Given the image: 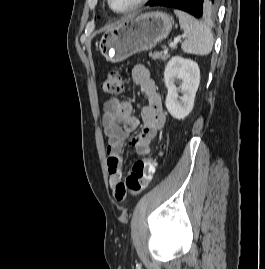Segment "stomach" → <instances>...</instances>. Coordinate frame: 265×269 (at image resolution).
I'll return each mask as SVG.
<instances>
[{
	"instance_id": "stomach-1",
	"label": "stomach",
	"mask_w": 265,
	"mask_h": 269,
	"mask_svg": "<svg viewBox=\"0 0 265 269\" xmlns=\"http://www.w3.org/2000/svg\"><path fill=\"white\" fill-rule=\"evenodd\" d=\"M172 25V16L163 11L128 18L103 34L99 50L107 60L121 62L155 47L169 35Z\"/></svg>"
}]
</instances>
